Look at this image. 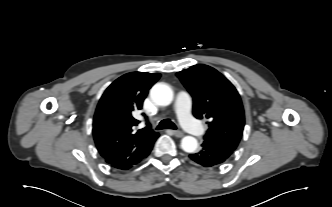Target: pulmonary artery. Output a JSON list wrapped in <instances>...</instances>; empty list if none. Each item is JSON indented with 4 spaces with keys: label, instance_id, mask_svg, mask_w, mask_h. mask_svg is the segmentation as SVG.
Masks as SVG:
<instances>
[{
    "label": "pulmonary artery",
    "instance_id": "e3ab8cb5",
    "mask_svg": "<svg viewBox=\"0 0 332 207\" xmlns=\"http://www.w3.org/2000/svg\"><path fill=\"white\" fill-rule=\"evenodd\" d=\"M175 113L177 118L187 131L194 135H201L205 130L196 124L191 117L192 100L189 94L185 91L178 92L174 105Z\"/></svg>",
    "mask_w": 332,
    "mask_h": 207
}]
</instances>
